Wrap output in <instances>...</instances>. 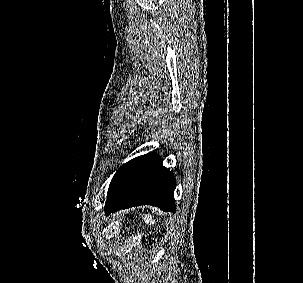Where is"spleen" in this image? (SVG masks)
I'll list each match as a JSON object with an SVG mask.
<instances>
[{"mask_svg": "<svg viewBox=\"0 0 303 283\" xmlns=\"http://www.w3.org/2000/svg\"><path fill=\"white\" fill-rule=\"evenodd\" d=\"M143 219L146 224L154 225L156 223V221L153 219L152 215L150 214L145 215Z\"/></svg>", "mask_w": 303, "mask_h": 283, "instance_id": "3e777b00", "label": "spleen"}]
</instances>
